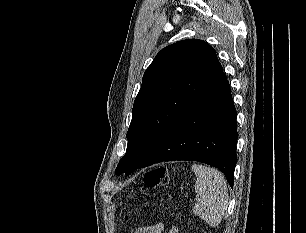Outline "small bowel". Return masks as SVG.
<instances>
[{
    "instance_id": "small-bowel-1",
    "label": "small bowel",
    "mask_w": 306,
    "mask_h": 233,
    "mask_svg": "<svg viewBox=\"0 0 306 233\" xmlns=\"http://www.w3.org/2000/svg\"><path fill=\"white\" fill-rule=\"evenodd\" d=\"M163 223H157L149 226H142L136 230L135 233H163ZM168 233H179L177 226H172Z\"/></svg>"
}]
</instances>
